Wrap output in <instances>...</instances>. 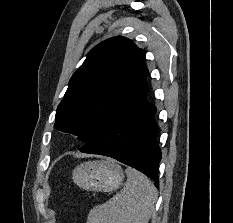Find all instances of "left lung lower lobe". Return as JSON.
Wrapping results in <instances>:
<instances>
[{
	"mask_svg": "<svg viewBox=\"0 0 233 223\" xmlns=\"http://www.w3.org/2000/svg\"><path fill=\"white\" fill-rule=\"evenodd\" d=\"M144 81L129 100L80 151L112 157L158 182L161 151L155 138L156 107L147 101Z\"/></svg>",
	"mask_w": 233,
	"mask_h": 223,
	"instance_id": "left-lung-lower-lobe-1",
	"label": "left lung lower lobe"
}]
</instances>
